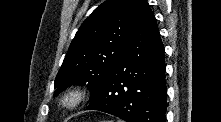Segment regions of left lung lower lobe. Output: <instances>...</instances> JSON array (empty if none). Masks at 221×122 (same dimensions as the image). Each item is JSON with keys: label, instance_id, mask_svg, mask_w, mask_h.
<instances>
[{"label": "left lung lower lobe", "instance_id": "left-lung-lower-lobe-1", "mask_svg": "<svg viewBox=\"0 0 221 122\" xmlns=\"http://www.w3.org/2000/svg\"><path fill=\"white\" fill-rule=\"evenodd\" d=\"M166 109L164 47L154 14L147 1L141 0L126 45L87 110L127 122H164Z\"/></svg>", "mask_w": 221, "mask_h": 122}]
</instances>
